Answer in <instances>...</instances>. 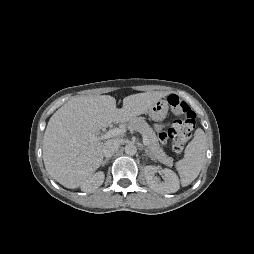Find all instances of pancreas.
Returning <instances> with one entry per match:
<instances>
[{"instance_id":"1","label":"pancreas","mask_w":254,"mask_h":254,"mask_svg":"<svg viewBox=\"0 0 254 254\" xmlns=\"http://www.w3.org/2000/svg\"><path fill=\"white\" fill-rule=\"evenodd\" d=\"M125 125L128 129L144 133L147 136V150L154 160H158L159 162L167 166L172 165L173 158L167 156V154L163 151V149L159 145L155 132L143 118L134 117L129 120Z\"/></svg>"}]
</instances>
